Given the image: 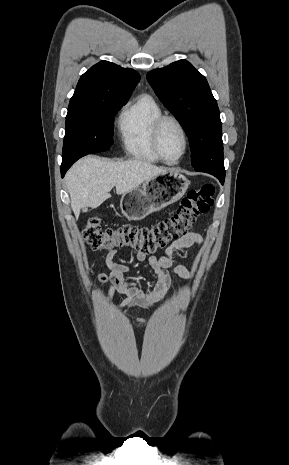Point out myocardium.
<instances>
[{"label":"myocardium","mask_w":289,"mask_h":465,"mask_svg":"<svg viewBox=\"0 0 289 465\" xmlns=\"http://www.w3.org/2000/svg\"><path fill=\"white\" fill-rule=\"evenodd\" d=\"M167 122H173L178 129L180 130L183 140H184V148L182 153L180 154L179 157H177L175 160H169L167 159L161 149V136H162V131L165 123ZM152 144L155 153L159 157V159L167 164H176L178 163L187 153L188 148H189V136L187 133V130L183 123L175 116L173 115H166L162 114L160 115L156 121L154 122L153 125V130H152Z\"/></svg>","instance_id":"myocardium-1"}]
</instances>
